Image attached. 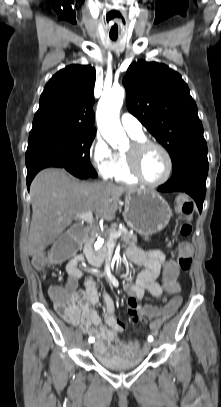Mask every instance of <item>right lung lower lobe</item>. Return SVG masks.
Listing matches in <instances>:
<instances>
[{
  "mask_svg": "<svg viewBox=\"0 0 221 407\" xmlns=\"http://www.w3.org/2000/svg\"><path fill=\"white\" fill-rule=\"evenodd\" d=\"M47 167H61V168H65L67 171H69L71 174H73L74 176L81 178V179H86L88 177H92L90 175L87 174H83L80 173L78 171L72 170L68 167H66L63 163L59 162V161H55V160H44L41 161L39 163H37L36 165L32 166L31 168L27 169V187L28 190L30 188V184L33 180V178L35 177V175L44 168Z\"/></svg>",
  "mask_w": 221,
  "mask_h": 407,
  "instance_id": "obj_1",
  "label": "right lung lower lobe"
}]
</instances>
